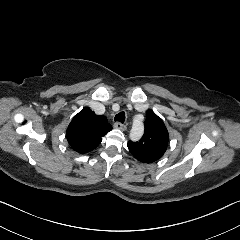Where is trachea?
I'll return each mask as SVG.
<instances>
[{"mask_svg": "<svg viewBox=\"0 0 240 240\" xmlns=\"http://www.w3.org/2000/svg\"><path fill=\"white\" fill-rule=\"evenodd\" d=\"M114 121L124 123L125 121V112L122 111L114 117Z\"/></svg>", "mask_w": 240, "mask_h": 240, "instance_id": "trachea-1", "label": "trachea"}]
</instances>
